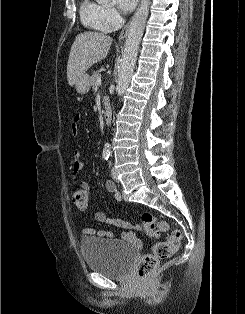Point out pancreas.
I'll use <instances>...</instances> for the list:
<instances>
[{
	"instance_id": "pancreas-1",
	"label": "pancreas",
	"mask_w": 245,
	"mask_h": 314,
	"mask_svg": "<svg viewBox=\"0 0 245 314\" xmlns=\"http://www.w3.org/2000/svg\"><path fill=\"white\" fill-rule=\"evenodd\" d=\"M99 77H101V74L98 71H94L89 81L92 87L96 86L97 78Z\"/></svg>"
}]
</instances>
